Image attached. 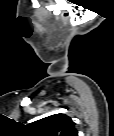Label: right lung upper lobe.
<instances>
[{"label":"right lung upper lobe","instance_id":"1","mask_svg":"<svg viewBox=\"0 0 114 136\" xmlns=\"http://www.w3.org/2000/svg\"><path fill=\"white\" fill-rule=\"evenodd\" d=\"M36 136H77L75 123L65 114H54L29 125Z\"/></svg>","mask_w":114,"mask_h":136}]
</instances>
